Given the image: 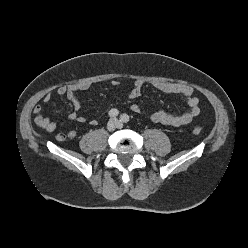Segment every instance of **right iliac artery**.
<instances>
[{"label": "right iliac artery", "mask_w": 248, "mask_h": 248, "mask_svg": "<svg viewBox=\"0 0 248 248\" xmlns=\"http://www.w3.org/2000/svg\"><path fill=\"white\" fill-rule=\"evenodd\" d=\"M108 114H109V117L114 118L118 116L119 111L117 109H111Z\"/></svg>", "instance_id": "obj_1"}]
</instances>
